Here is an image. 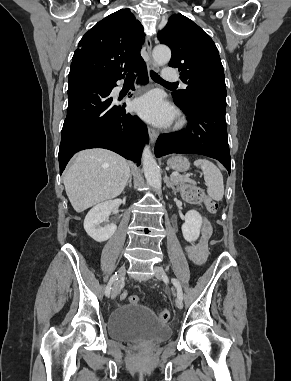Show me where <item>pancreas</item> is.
<instances>
[{"mask_svg":"<svg viewBox=\"0 0 291 381\" xmlns=\"http://www.w3.org/2000/svg\"><path fill=\"white\" fill-rule=\"evenodd\" d=\"M185 175H180L178 177L172 178V181L174 184H182V183H190L192 185H195V182L192 181L189 177H184Z\"/></svg>","mask_w":291,"mask_h":381,"instance_id":"obj_1","label":"pancreas"}]
</instances>
